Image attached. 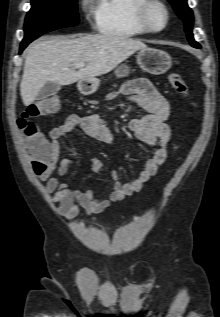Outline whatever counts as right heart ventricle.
I'll return each mask as SVG.
<instances>
[{
    "label": "right heart ventricle",
    "mask_w": 220,
    "mask_h": 317,
    "mask_svg": "<svg viewBox=\"0 0 220 317\" xmlns=\"http://www.w3.org/2000/svg\"><path fill=\"white\" fill-rule=\"evenodd\" d=\"M143 0H97L95 23L104 35L129 38L147 34L137 20V8Z\"/></svg>",
    "instance_id": "right-heart-ventricle-1"
}]
</instances>
